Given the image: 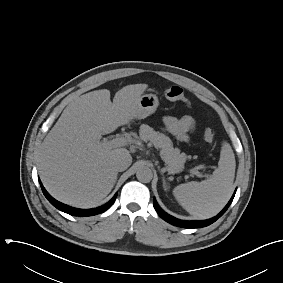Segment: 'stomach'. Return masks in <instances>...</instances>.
Listing matches in <instances>:
<instances>
[{
    "label": "stomach",
    "instance_id": "stomach-1",
    "mask_svg": "<svg viewBox=\"0 0 283 283\" xmlns=\"http://www.w3.org/2000/svg\"><path fill=\"white\" fill-rule=\"evenodd\" d=\"M158 106L159 100L155 94L141 95L134 106V118L144 119L153 114Z\"/></svg>",
    "mask_w": 283,
    "mask_h": 283
}]
</instances>
